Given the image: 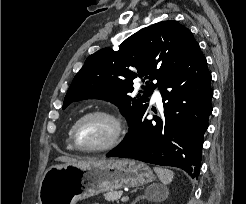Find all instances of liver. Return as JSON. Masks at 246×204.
<instances>
[{"label":"liver","instance_id":"obj_1","mask_svg":"<svg viewBox=\"0 0 246 204\" xmlns=\"http://www.w3.org/2000/svg\"><path fill=\"white\" fill-rule=\"evenodd\" d=\"M55 160L65 162L67 164L79 162L78 160L71 158V157H68V156H60V157H57ZM89 160H91V159H89Z\"/></svg>","mask_w":246,"mask_h":204}]
</instances>
